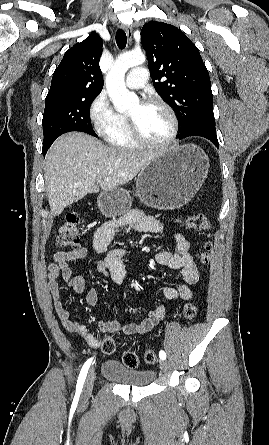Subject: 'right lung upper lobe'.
Masks as SVG:
<instances>
[{"label": "right lung upper lobe", "instance_id": "cb5924a9", "mask_svg": "<svg viewBox=\"0 0 269 445\" xmlns=\"http://www.w3.org/2000/svg\"><path fill=\"white\" fill-rule=\"evenodd\" d=\"M103 42L96 32L75 44L53 73L47 96L100 94L103 77L99 67Z\"/></svg>", "mask_w": 269, "mask_h": 445}]
</instances>
